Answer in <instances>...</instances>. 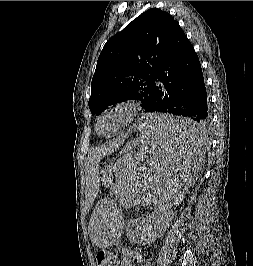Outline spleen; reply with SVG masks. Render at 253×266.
<instances>
[{
	"label": "spleen",
	"mask_w": 253,
	"mask_h": 266,
	"mask_svg": "<svg viewBox=\"0 0 253 266\" xmlns=\"http://www.w3.org/2000/svg\"><path fill=\"white\" fill-rule=\"evenodd\" d=\"M139 145L133 156L125 153L115 161L118 185L113 192L119 207H96L90 217L89 233L95 246L123 247L122 216L128 210H171L182 204L186 190L198 174L203 159V123L180 113L158 111L140 117Z\"/></svg>",
	"instance_id": "obj_1"
}]
</instances>
